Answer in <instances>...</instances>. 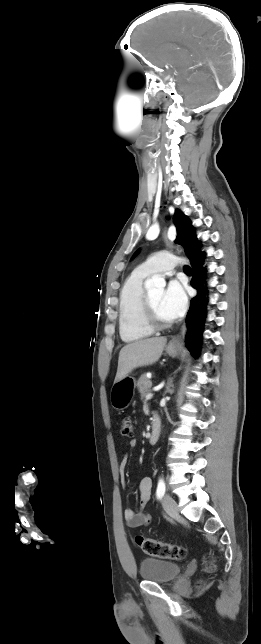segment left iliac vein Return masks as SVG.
<instances>
[{"label":"left iliac vein","instance_id":"1","mask_svg":"<svg viewBox=\"0 0 261 644\" xmlns=\"http://www.w3.org/2000/svg\"><path fill=\"white\" fill-rule=\"evenodd\" d=\"M162 504H163V508L165 509V511H166L168 514H170V515H172V516H176V515H178V506H177V503H176V501H175V500H174L170 495L166 494V495L163 497V499H162Z\"/></svg>","mask_w":261,"mask_h":644}]
</instances>
